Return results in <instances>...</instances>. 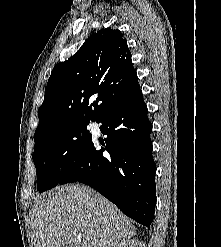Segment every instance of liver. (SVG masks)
I'll list each match as a JSON object with an SVG mask.
<instances>
[{
  "label": "liver",
  "instance_id": "obj_1",
  "mask_svg": "<svg viewBox=\"0 0 221 247\" xmlns=\"http://www.w3.org/2000/svg\"><path fill=\"white\" fill-rule=\"evenodd\" d=\"M30 226L34 247H115L136 235L114 204L79 184L38 196Z\"/></svg>",
  "mask_w": 221,
  "mask_h": 247
}]
</instances>
